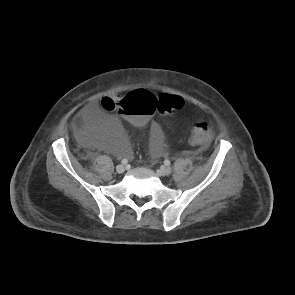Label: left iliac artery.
Listing matches in <instances>:
<instances>
[{
  "mask_svg": "<svg viewBox=\"0 0 295 295\" xmlns=\"http://www.w3.org/2000/svg\"><path fill=\"white\" fill-rule=\"evenodd\" d=\"M164 164H165L166 166H169V165H170V161H169V160H165V161H164Z\"/></svg>",
  "mask_w": 295,
  "mask_h": 295,
  "instance_id": "obj_1",
  "label": "left iliac artery"
}]
</instances>
